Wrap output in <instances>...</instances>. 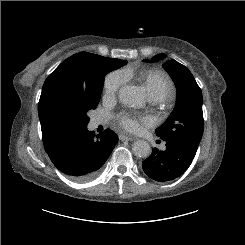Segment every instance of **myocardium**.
<instances>
[{
    "label": "myocardium",
    "instance_id": "1",
    "mask_svg": "<svg viewBox=\"0 0 245 245\" xmlns=\"http://www.w3.org/2000/svg\"><path fill=\"white\" fill-rule=\"evenodd\" d=\"M166 98H162V99H153V101L158 102V101H164Z\"/></svg>",
    "mask_w": 245,
    "mask_h": 245
}]
</instances>
